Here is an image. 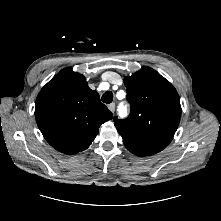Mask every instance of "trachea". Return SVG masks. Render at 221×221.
<instances>
[{"mask_svg": "<svg viewBox=\"0 0 221 221\" xmlns=\"http://www.w3.org/2000/svg\"><path fill=\"white\" fill-rule=\"evenodd\" d=\"M102 102L109 104L113 101V93L111 91H106L103 95H102Z\"/></svg>", "mask_w": 221, "mask_h": 221, "instance_id": "3493384b", "label": "trachea"}]
</instances>
